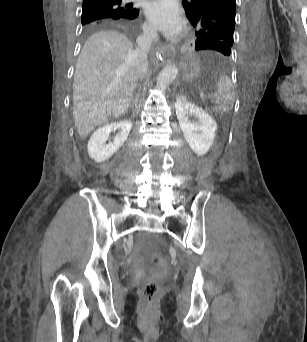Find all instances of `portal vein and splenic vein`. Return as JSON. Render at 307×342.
I'll return each instance as SVG.
<instances>
[{"label":"portal vein and splenic vein","instance_id":"obj_1","mask_svg":"<svg viewBox=\"0 0 307 342\" xmlns=\"http://www.w3.org/2000/svg\"><path fill=\"white\" fill-rule=\"evenodd\" d=\"M199 92H200V95H201V97H202L201 100L203 101V100H204L203 97H204V95H205L204 89H203V88H200V89H199Z\"/></svg>","mask_w":307,"mask_h":342}]
</instances>
